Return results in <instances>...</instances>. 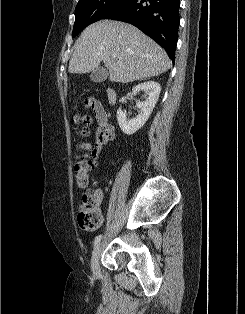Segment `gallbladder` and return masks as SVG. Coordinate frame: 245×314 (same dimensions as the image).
Returning <instances> with one entry per match:
<instances>
[{"instance_id": "gallbladder-1", "label": "gallbladder", "mask_w": 245, "mask_h": 314, "mask_svg": "<svg viewBox=\"0 0 245 314\" xmlns=\"http://www.w3.org/2000/svg\"><path fill=\"white\" fill-rule=\"evenodd\" d=\"M108 77V70L104 67H97L90 74V80L95 83L103 82Z\"/></svg>"}]
</instances>
